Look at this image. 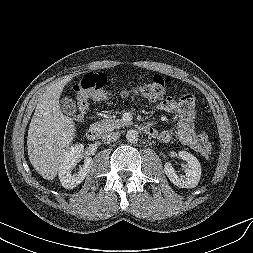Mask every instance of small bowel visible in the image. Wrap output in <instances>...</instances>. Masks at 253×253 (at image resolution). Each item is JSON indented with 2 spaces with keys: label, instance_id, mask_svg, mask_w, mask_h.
I'll use <instances>...</instances> for the list:
<instances>
[{
  "label": "small bowel",
  "instance_id": "1",
  "mask_svg": "<svg viewBox=\"0 0 253 253\" xmlns=\"http://www.w3.org/2000/svg\"><path fill=\"white\" fill-rule=\"evenodd\" d=\"M194 107V100H188L185 96H182L178 100L167 97L158 105L161 111L176 113L179 116L177 136L181 143L194 151H200L206 138L195 130ZM150 135L163 143H167L172 139L171 133L167 130L159 132L153 130V133Z\"/></svg>",
  "mask_w": 253,
  "mask_h": 253
}]
</instances>
